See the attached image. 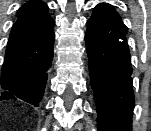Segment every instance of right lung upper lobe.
Masks as SVG:
<instances>
[{"instance_id": "cb5924a9", "label": "right lung upper lobe", "mask_w": 151, "mask_h": 131, "mask_svg": "<svg viewBox=\"0 0 151 131\" xmlns=\"http://www.w3.org/2000/svg\"><path fill=\"white\" fill-rule=\"evenodd\" d=\"M54 20L48 6L30 0L17 12L2 67L1 84H12L36 71L50 56L54 44Z\"/></svg>"}]
</instances>
